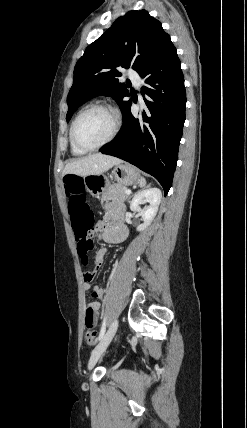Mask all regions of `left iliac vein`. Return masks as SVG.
Segmentation results:
<instances>
[{
	"mask_svg": "<svg viewBox=\"0 0 247 428\" xmlns=\"http://www.w3.org/2000/svg\"><path fill=\"white\" fill-rule=\"evenodd\" d=\"M118 328V320L115 319L111 325L109 326V329L105 333V335L102 337L100 342L97 344V346L94 348V350L91 353V357L89 359L88 363V369H92L95 364L97 363L98 359L101 357L103 352L107 349L108 345L112 341L116 331Z\"/></svg>",
	"mask_w": 247,
	"mask_h": 428,
	"instance_id": "4c4485c4",
	"label": "left iliac vein"
}]
</instances>
